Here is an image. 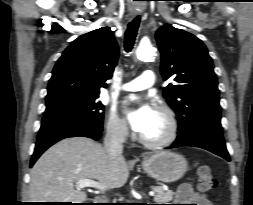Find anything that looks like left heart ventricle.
I'll use <instances>...</instances> for the list:
<instances>
[{
	"label": "left heart ventricle",
	"mask_w": 253,
	"mask_h": 205,
	"mask_svg": "<svg viewBox=\"0 0 253 205\" xmlns=\"http://www.w3.org/2000/svg\"><path fill=\"white\" fill-rule=\"evenodd\" d=\"M167 130L168 124L164 115L161 112L155 110L151 122L141 133V135L148 139H159L166 135Z\"/></svg>",
	"instance_id": "b2bd125f"
}]
</instances>
